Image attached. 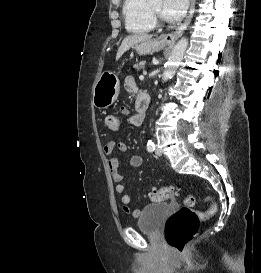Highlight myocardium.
<instances>
[{
    "mask_svg": "<svg viewBox=\"0 0 261 273\" xmlns=\"http://www.w3.org/2000/svg\"><path fill=\"white\" fill-rule=\"evenodd\" d=\"M148 9L150 12V15L152 17V20L154 22L155 25H161L164 22V18L163 16L158 12V10H156L152 3L151 0H149L148 2Z\"/></svg>",
    "mask_w": 261,
    "mask_h": 273,
    "instance_id": "myocardium-1",
    "label": "myocardium"
}]
</instances>
